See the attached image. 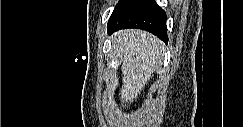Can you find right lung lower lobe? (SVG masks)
Listing matches in <instances>:
<instances>
[{"label": "right lung lower lobe", "instance_id": "98d812e1", "mask_svg": "<svg viewBox=\"0 0 243 127\" xmlns=\"http://www.w3.org/2000/svg\"><path fill=\"white\" fill-rule=\"evenodd\" d=\"M166 13L155 0H120L108 21V33L120 29L146 30L168 42Z\"/></svg>", "mask_w": 243, "mask_h": 127}]
</instances>
